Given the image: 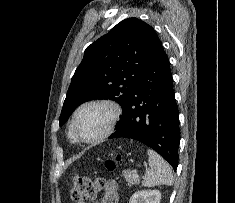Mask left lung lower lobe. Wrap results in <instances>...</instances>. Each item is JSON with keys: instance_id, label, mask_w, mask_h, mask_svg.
Wrapping results in <instances>:
<instances>
[{"instance_id": "1", "label": "left lung lower lobe", "mask_w": 235, "mask_h": 203, "mask_svg": "<svg viewBox=\"0 0 235 203\" xmlns=\"http://www.w3.org/2000/svg\"><path fill=\"white\" fill-rule=\"evenodd\" d=\"M109 138H131L154 149L176 171L180 142L179 112L169 59L162 43L144 69L132 97Z\"/></svg>"}]
</instances>
